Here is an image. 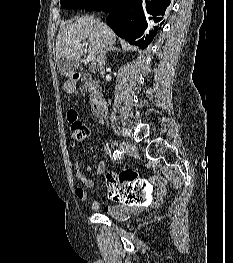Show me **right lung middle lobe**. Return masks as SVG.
Returning <instances> with one entry per match:
<instances>
[{"mask_svg":"<svg viewBox=\"0 0 233 263\" xmlns=\"http://www.w3.org/2000/svg\"><path fill=\"white\" fill-rule=\"evenodd\" d=\"M102 0H61V5L66 9L86 8L89 11L94 10Z\"/></svg>","mask_w":233,"mask_h":263,"instance_id":"obj_1","label":"right lung middle lobe"}]
</instances>
